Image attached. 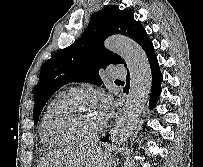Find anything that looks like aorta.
Returning <instances> with one entry per match:
<instances>
[{"instance_id": "762f6f07", "label": "aorta", "mask_w": 203, "mask_h": 167, "mask_svg": "<svg viewBox=\"0 0 203 167\" xmlns=\"http://www.w3.org/2000/svg\"><path fill=\"white\" fill-rule=\"evenodd\" d=\"M105 47L119 54L130 72L129 95L111 131L112 142L121 144L137 127L150 93L152 74L144 50L132 39L120 35L112 36L105 41Z\"/></svg>"}]
</instances>
